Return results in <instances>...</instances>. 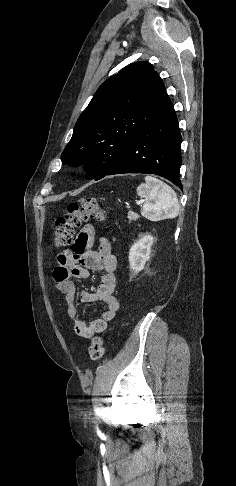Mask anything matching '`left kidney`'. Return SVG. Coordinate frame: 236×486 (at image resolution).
<instances>
[{
  "label": "left kidney",
  "instance_id": "5707ae66",
  "mask_svg": "<svg viewBox=\"0 0 236 486\" xmlns=\"http://www.w3.org/2000/svg\"><path fill=\"white\" fill-rule=\"evenodd\" d=\"M154 243L152 235L142 236L136 243H134L129 251V263L131 270L137 274L144 269L147 261L150 259L151 246Z\"/></svg>",
  "mask_w": 236,
  "mask_h": 486
}]
</instances>
